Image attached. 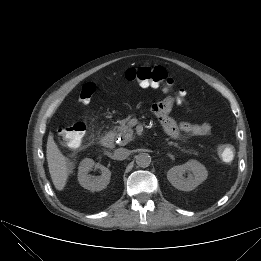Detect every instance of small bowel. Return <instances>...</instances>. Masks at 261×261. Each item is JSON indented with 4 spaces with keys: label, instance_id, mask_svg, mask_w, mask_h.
Returning a JSON list of instances; mask_svg holds the SVG:
<instances>
[{
    "label": "small bowel",
    "instance_id": "c3829d8e",
    "mask_svg": "<svg viewBox=\"0 0 261 261\" xmlns=\"http://www.w3.org/2000/svg\"><path fill=\"white\" fill-rule=\"evenodd\" d=\"M176 102H178L177 99L168 96L162 101L154 104L152 107L153 112L159 118L168 135L172 137H177L181 134L203 136L211 131V125L209 122L193 124L188 122L176 123L172 120L169 114Z\"/></svg>",
    "mask_w": 261,
    "mask_h": 261
}]
</instances>
